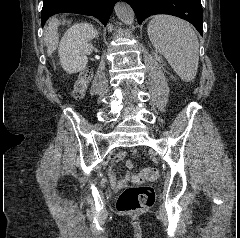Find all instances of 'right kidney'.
Here are the masks:
<instances>
[{
  "instance_id": "right-kidney-1",
  "label": "right kidney",
  "mask_w": 240,
  "mask_h": 238,
  "mask_svg": "<svg viewBox=\"0 0 240 238\" xmlns=\"http://www.w3.org/2000/svg\"><path fill=\"white\" fill-rule=\"evenodd\" d=\"M97 36L98 31L88 23L75 24L65 32L58 54L61 66L67 73H77L86 67L88 42Z\"/></svg>"
}]
</instances>
